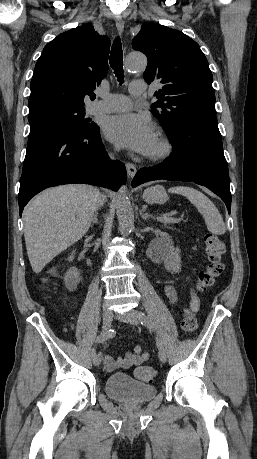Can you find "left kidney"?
<instances>
[{"label": "left kidney", "mask_w": 257, "mask_h": 459, "mask_svg": "<svg viewBox=\"0 0 257 459\" xmlns=\"http://www.w3.org/2000/svg\"><path fill=\"white\" fill-rule=\"evenodd\" d=\"M166 259L164 266L168 271L178 273L181 270L180 250L174 249L171 245L166 248Z\"/></svg>", "instance_id": "5707ae66"}]
</instances>
